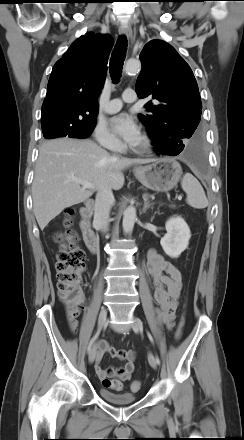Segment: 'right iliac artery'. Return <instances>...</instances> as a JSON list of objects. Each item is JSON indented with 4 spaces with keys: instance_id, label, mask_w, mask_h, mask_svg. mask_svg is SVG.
Segmentation results:
<instances>
[{
    "instance_id": "1",
    "label": "right iliac artery",
    "mask_w": 244,
    "mask_h": 440,
    "mask_svg": "<svg viewBox=\"0 0 244 440\" xmlns=\"http://www.w3.org/2000/svg\"><path fill=\"white\" fill-rule=\"evenodd\" d=\"M99 333H100V330H98V331L95 333V335L92 337V339H91V341H90V343H89L88 349H87L88 354H90V352H91V350H92V348H93V346H94V342H95V340L97 339V337L99 336Z\"/></svg>"
}]
</instances>
